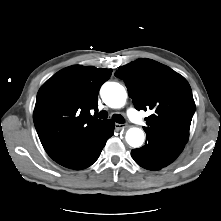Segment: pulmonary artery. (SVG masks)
I'll return each mask as SVG.
<instances>
[{
  "instance_id": "1",
  "label": "pulmonary artery",
  "mask_w": 221,
  "mask_h": 221,
  "mask_svg": "<svg viewBox=\"0 0 221 221\" xmlns=\"http://www.w3.org/2000/svg\"><path fill=\"white\" fill-rule=\"evenodd\" d=\"M127 115L132 121L138 124L144 123V118L139 115V113L134 108H129L127 111Z\"/></svg>"
}]
</instances>
